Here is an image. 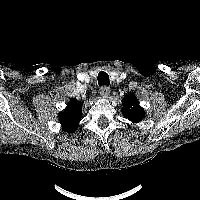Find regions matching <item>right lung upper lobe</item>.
Masks as SVG:
<instances>
[{
  "label": "right lung upper lobe",
  "mask_w": 200,
  "mask_h": 200,
  "mask_svg": "<svg viewBox=\"0 0 200 200\" xmlns=\"http://www.w3.org/2000/svg\"><path fill=\"white\" fill-rule=\"evenodd\" d=\"M81 104L73 98L68 102L66 109L60 113L59 119L64 131L73 132L78 127L81 120Z\"/></svg>",
  "instance_id": "right-lung-upper-lobe-1"
}]
</instances>
